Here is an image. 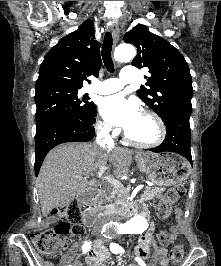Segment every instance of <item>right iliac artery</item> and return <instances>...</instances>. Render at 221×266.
<instances>
[{
	"mask_svg": "<svg viewBox=\"0 0 221 266\" xmlns=\"http://www.w3.org/2000/svg\"><path fill=\"white\" fill-rule=\"evenodd\" d=\"M91 249V241H85L82 245V250L84 253H86L87 251H89ZM72 266V265H69Z\"/></svg>",
	"mask_w": 221,
	"mask_h": 266,
	"instance_id": "right-iliac-artery-1",
	"label": "right iliac artery"
}]
</instances>
